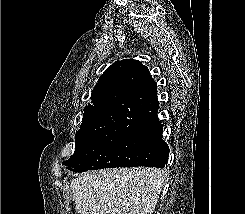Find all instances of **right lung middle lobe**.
<instances>
[{
  "label": "right lung middle lobe",
  "mask_w": 245,
  "mask_h": 214,
  "mask_svg": "<svg viewBox=\"0 0 245 214\" xmlns=\"http://www.w3.org/2000/svg\"><path fill=\"white\" fill-rule=\"evenodd\" d=\"M128 137L127 128H117L104 134L76 135L75 152L62 164L77 172L119 165L117 147Z\"/></svg>",
  "instance_id": "right-lung-middle-lobe-1"
}]
</instances>
